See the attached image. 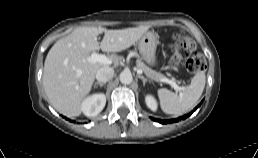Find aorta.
I'll return each mask as SVG.
<instances>
[{
    "instance_id": "obj_1",
    "label": "aorta",
    "mask_w": 258,
    "mask_h": 158,
    "mask_svg": "<svg viewBox=\"0 0 258 158\" xmlns=\"http://www.w3.org/2000/svg\"><path fill=\"white\" fill-rule=\"evenodd\" d=\"M119 79H120V82L124 85H128V84L132 83V81H133L132 74L129 71L121 72Z\"/></svg>"
}]
</instances>
